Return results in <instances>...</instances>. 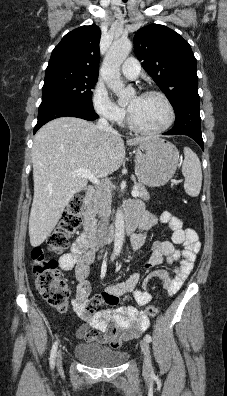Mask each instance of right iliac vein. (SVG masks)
<instances>
[{"label":"right iliac vein","mask_w":227,"mask_h":396,"mask_svg":"<svg viewBox=\"0 0 227 396\" xmlns=\"http://www.w3.org/2000/svg\"><path fill=\"white\" fill-rule=\"evenodd\" d=\"M61 363H62V355H61V352H58L57 365L60 367Z\"/></svg>","instance_id":"63e3f726"}]
</instances>
